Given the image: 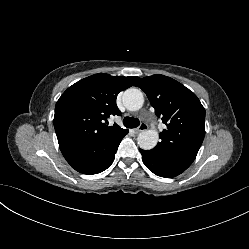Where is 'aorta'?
I'll list each match as a JSON object with an SVG mask.
<instances>
[{"instance_id":"aorta-1","label":"aorta","mask_w":249,"mask_h":249,"mask_svg":"<svg viewBox=\"0 0 249 249\" xmlns=\"http://www.w3.org/2000/svg\"><path fill=\"white\" fill-rule=\"evenodd\" d=\"M123 103L130 111L139 110L144 103V96L141 90L136 88L127 89L123 94ZM159 135L155 130H146L139 134L137 142L144 150L153 149L158 142Z\"/></svg>"}]
</instances>
